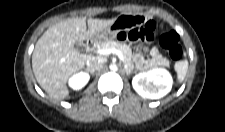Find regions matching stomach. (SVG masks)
Segmentation results:
<instances>
[{
  "mask_svg": "<svg viewBox=\"0 0 225 132\" xmlns=\"http://www.w3.org/2000/svg\"><path fill=\"white\" fill-rule=\"evenodd\" d=\"M118 32L119 29H116L114 28V25H111L96 33V35L93 38L97 42L112 41L113 39L116 38Z\"/></svg>",
  "mask_w": 225,
  "mask_h": 132,
  "instance_id": "0dacf381",
  "label": "stomach"
}]
</instances>
